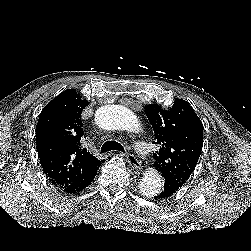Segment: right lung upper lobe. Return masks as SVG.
I'll list each match as a JSON object with an SVG mask.
<instances>
[{
    "instance_id": "1",
    "label": "right lung upper lobe",
    "mask_w": 251,
    "mask_h": 251,
    "mask_svg": "<svg viewBox=\"0 0 251 251\" xmlns=\"http://www.w3.org/2000/svg\"><path fill=\"white\" fill-rule=\"evenodd\" d=\"M88 104L75 89H68L49 102L39 116L38 155L43 171L57 187L79 185L95 174L103 162L81 146V113Z\"/></svg>"
}]
</instances>
